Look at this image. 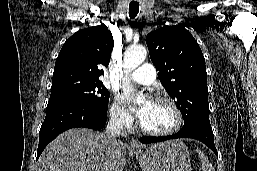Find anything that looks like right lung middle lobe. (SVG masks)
I'll return each instance as SVG.
<instances>
[{"label": "right lung middle lobe", "instance_id": "1", "mask_svg": "<svg viewBox=\"0 0 257 171\" xmlns=\"http://www.w3.org/2000/svg\"><path fill=\"white\" fill-rule=\"evenodd\" d=\"M80 101L98 110L107 111L109 92L102 82L75 83L51 90L48 103L60 101Z\"/></svg>", "mask_w": 257, "mask_h": 171}]
</instances>
